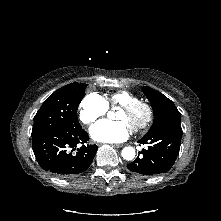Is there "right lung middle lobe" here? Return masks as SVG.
<instances>
[{"mask_svg": "<svg viewBox=\"0 0 221 221\" xmlns=\"http://www.w3.org/2000/svg\"><path fill=\"white\" fill-rule=\"evenodd\" d=\"M87 84L71 83L55 91L34 117L32 138L52 129L81 128L77 109Z\"/></svg>", "mask_w": 221, "mask_h": 221, "instance_id": "obj_1", "label": "right lung middle lobe"}]
</instances>
